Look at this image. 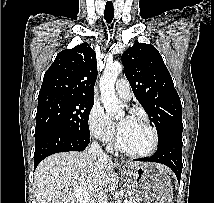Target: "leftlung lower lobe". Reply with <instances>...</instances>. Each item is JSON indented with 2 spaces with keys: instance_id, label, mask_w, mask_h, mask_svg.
Segmentation results:
<instances>
[{
  "instance_id": "1",
  "label": "left lung lower lobe",
  "mask_w": 214,
  "mask_h": 203,
  "mask_svg": "<svg viewBox=\"0 0 214 203\" xmlns=\"http://www.w3.org/2000/svg\"><path fill=\"white\" fill-rule=\"evenodd\" d=\"M182 133H175L166 140L158 144V149L149 158H139L136 161L157 162L171 168L178 182H180L182 172Z\"/></svg>"
}]
</instances>
